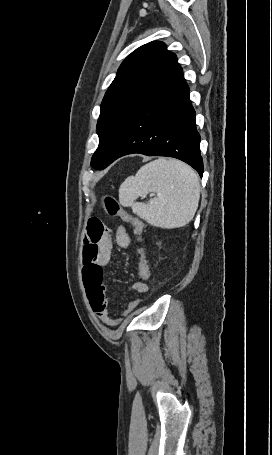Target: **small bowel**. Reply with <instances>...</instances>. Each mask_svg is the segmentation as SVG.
Segmentation results:
<instances>
[{
	"label": "small bowel",
	"mask_w": 272,
	"mask_h": 455,
	"mask_svg": "<svg viewBox=\"0 0 272 455\" xmlns=\"http://www.w3.org/2000/svg\"><path fill=\"white\" fill-rule=\"evenodd\" d=\"M116 244L122 249H128L131 239L124 226L115 230ZM113 240L109 229L97 218H90L84 236L83 247V280L87 297L98 318L108 326H116L121 318H114L109 310V300L106 295V285L103 280V269L108 264L113 251ZM132 290L143 294L149 289L148 283L138 281ZM138 305V300L128 303L123 316L132 312Z\"/></svg>",
	"instance_id": "1"
}]
</instances>
